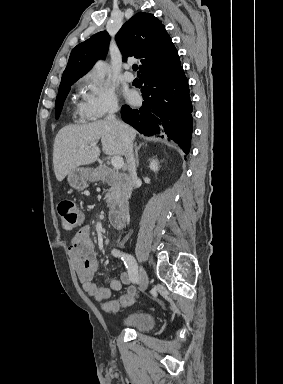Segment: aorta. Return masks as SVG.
Listing matches in <instances>:
<instances>
[{"instance_id": "obj_1", "label": "aorta", "mask_w": 283, "mask_h": 384, "mask_svg": "<svg viewBox=\"0 0 283 384\" xmlns=\"http://www.w3.org/2000/svg\"><path fill=\"white\" fill-rule=\"evenodd\" d=\"M106 65L103 61H99L95 64L94 66V72H95V75L96 77L99 79V80H103V78L105 77L106 75Z\"/></svg>"}]
</instances>
